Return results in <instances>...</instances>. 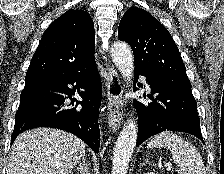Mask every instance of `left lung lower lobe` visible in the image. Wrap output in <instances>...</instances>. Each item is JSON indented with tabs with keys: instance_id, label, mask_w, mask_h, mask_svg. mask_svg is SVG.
I'll return each instance as SVG.
<instances>
[{
	"instance_id": "1",
	"label": "left lung lower lobe",
	"mask_w": 224,
	"mask_h": 174,
	"mask_svg": "<svg viewBox=\"0 0 224 174\" xmlns=\"http://www.w3.org/2000/svg\"><path fill=\"white\" fill-rule=\"evenodd\" d=\"M135 79L144 75L151 88L149 98L153 103L144 105L135 101L138 112V139L136 147L151 136L165 131H180L203 138L197 103L191 91V83L183 80L161 78L134 70ZM146 98V95H143Z\"/></svg>"
}]
</instances>
